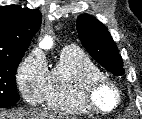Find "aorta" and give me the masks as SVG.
Masks as SVG:
<instances>
[{"mask_svg":"<svg viewBox=\"0 0 142 119\" xmlns=\"http://www.w3.org/2000/svg\"><path fill=\"white\" fill-rule=\"evenodd\" d=\"M53 46V41L50 36H45L43 40L40 42V47L43 49H50Z\"/></svg>","mask_w":142,"mask_h":119,"instance_id":"obj_1","label":"aorta"}]
</instances>
